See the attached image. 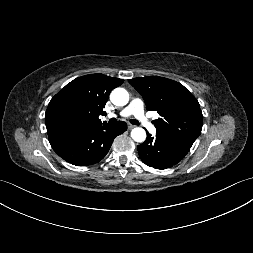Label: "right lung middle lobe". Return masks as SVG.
<instances>
[{
  "instance_id": "1",
  "label": "right lung middle lobe",
  "mask_w": 253,
  "mask_h": 253,
  "mask_svg": "<svg viewBox=\"0 0 253 253\" xmlns=\"http://www.w3.org/2000/svg\"><path fill=\"white\" fill-rule=\"evenodd\" d=\"M74 121L68 114H61L53 118L47 126L49 136L64 137L70 135L73 131Z\"/></svg>"
}]
</instances>
